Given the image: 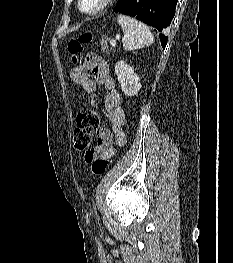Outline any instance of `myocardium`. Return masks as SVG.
I'll list each match as a JSON object with an SVG mask.
<instances>
[{
    "label": "myocardium",
    "instance_id": "obj_1",
    "mask_svg": "<svg viewBox=\"0 0 233 263\" xmlns=\"http://www.w3.org/2000/svg\"><path fill=\"white\" fill-rule=\"evenodd\" d=\"M113 0H100L99 4L91 10H87L83 7V0H77V6L80 12L87 16H94L104 11Z\"/></svg>",
    "mask_w": 233,
    "mask_h": 263
}]
</instances>
